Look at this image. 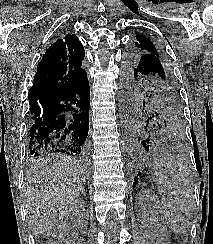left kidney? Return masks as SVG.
<instances>
[{
	"label": "left kidney",
	"mask_w": 213,
	"mask_h": 244,
	"mask_svg": "<svg viewBox=\"0 0 213 244\" xmlns=\"http://www.w3.org/2000/svg\"><path fill=\"white\" fill-rule=\"evenodd\" d=\"M137 204V216L140 222V228L145 233L155 232L156 241L153 244H168L167 231L154 210L155 200L152 198V194L146 190L141 191Z\"/></svg>",
	"instance_id": "1"
}]
</instances>
